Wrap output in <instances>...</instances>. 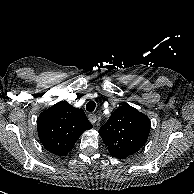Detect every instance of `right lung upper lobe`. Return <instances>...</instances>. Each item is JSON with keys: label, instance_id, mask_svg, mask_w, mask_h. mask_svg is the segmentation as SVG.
<instances>
[{"label": "right lung upper lobe", "instance_id": "right-lung-upper-lobe-1", "mask_svg": "<svg viewBox=\"0 0 194 194\" xmlns=\"http://www.w3.org/2000/svg\"><path fill=\"white\" fill-rule=\"evenodd\" d=\"M37 127L44 148L58 156H66L92 124L82 109L61 101L40 114Z\"/></svg>", "mask_w": 194, "mask_h": 194}]
</instances>
